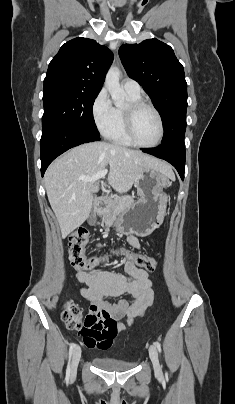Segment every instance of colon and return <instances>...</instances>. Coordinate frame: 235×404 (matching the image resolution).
Listing matches in <instances>:
<instances>
[{"instance_id": "5ec220e1", "label": "colon", "mask_w": 235, "mask_h": 404, "mask_svg": "<svg viewBox=\"0 0 235 404\" xmlns=\"http://www.w3.org/2000/svg\"><path fill=\"white\" fill-rule=\"evenodd\" d=\"M88 240L89 232L84 228L75 231L69 237V258L72 265L78 269H93L100 262L99 258L86 254L85 246ZM120 253L123 254L128 261L147 271H153L157 266V259L155 257L135 254L125 249H121ZM62 320L68 328H84L88 333H100L102 337H105L106 342L109 343L116 335L113 331L114 321L107 318L105 314L97 315L90 313L83 319L81 309L71 302L64 304Z\"/></svg>"}]
</instances>
